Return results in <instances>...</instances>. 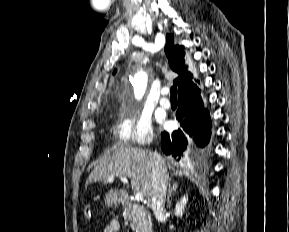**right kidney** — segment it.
<instances>
[{"mask_svg":"<svg viewBox=\"0 0 289 232\" xmlns=\"http://www.w3.org/2000/svg\"><path fill=\"white\" fill-rule=\"evenodd\" d=\"M187 201H188V196L186 195L183 198H181L180 201L176 204L175 215L177 217H182Z\"/></svg>","mask_w":289,"mask_h":232,"instance_id":"obj_1","label":"right kidney"}]
</instances>
